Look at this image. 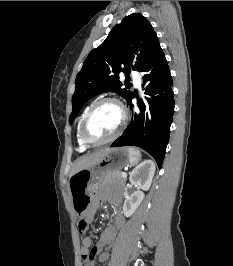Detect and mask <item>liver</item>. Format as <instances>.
Masks as SVG:
<instances>
[{
  "label": "liver",
  "instance_id": "obj_1",
  "mask_svg": "<svg viewBox=\"0 0 233 266\" xmlns=\"http://www.w3.org/2000/svg\"><path fill=\"white\" fill-rule=\"evenodd\" d=\"M109 150L110 148L101 149L99 151H95L93 153H89L79 157L78 159L75 160L72 166L70 176H72L73 174L77 173L82 169L89 168L97 164L108 153Z\"/></svg>",
  "mask_w": 233,
  "mask_h": 266
}]
</instances>
